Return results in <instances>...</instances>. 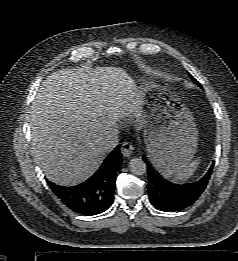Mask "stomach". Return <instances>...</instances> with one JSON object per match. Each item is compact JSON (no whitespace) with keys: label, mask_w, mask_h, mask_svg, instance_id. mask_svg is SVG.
<instances>
[{"label":"stomach","mask_w":238,"mask_h":261,"mask_svg":"<svg viewBox=\"0 0 238 261\" xmlns=\"http://www.w3.org/2000/svg\"><path fill=\"white\" fill-rule=\"evenodd\" d=\"M133 91L144 99L140 113L151 162L165 177L180 172L197 149L198 132L192 112L160 81L138 79Z\"/></svg>","instance_id":"1"}]
</instances>
